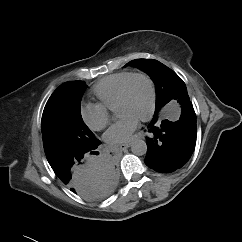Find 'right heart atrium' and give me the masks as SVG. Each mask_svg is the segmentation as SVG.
Returning a JSON list of instances; mask_svg holds the SVG:
<instances>
[{"instance_id":"obj_1","label":"right heart atrium","mask_w":242,"mask_h":242,"mask_svg":"<svg viewBox=\"0 0 242 242\" xmlns=\"http://www.w3.org/2000/svg\"><path fill=\"white\" fill-rule=\"evenodd\" d=\"M79 114L84 124L93 131L102 130L109 122V111L99 103H82Z\"/></svg>"}]
</instances>
